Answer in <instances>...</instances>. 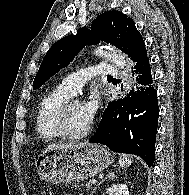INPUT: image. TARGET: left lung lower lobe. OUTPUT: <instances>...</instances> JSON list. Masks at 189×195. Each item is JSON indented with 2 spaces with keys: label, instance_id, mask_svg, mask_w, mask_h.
Returning a JSON list of instances; mask_svg holds the SVG:
<instances>
[{
  "label": "left lung lower lobe",
  "instance_id": "obj_1",
  "mask_svg": "<svg viewBox=\"0 0 189 195\" xmlns=\"http://www.w3.org/2000/svg\"><path fill=\"white\" fill-rule=\"evenodd\" d=\"M132 76L135 87L123 99L109 102L89 142L101 143L114 152L138 155L151 166L159 106L148 57L135 64Z\"/></svg>",
  "mask_w": 189,
  "mask_h": 195
}]
</instances>
